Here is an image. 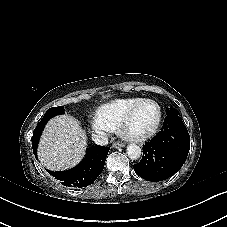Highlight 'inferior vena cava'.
<instances>
[{
  "instance_id": "inferior-vena-cava-1",
  "label": "inferior vena cava",
  "mask_w": 227,
  "mask_h": 227,
  "mask_svg": "<svg viewBox=\"0 0 227 227\" xmlns=\"http://www.w3.org/2000/svg\"><path fill=\"white\" fill-rule=\"evenodd\" d=\"M92 140L97 144V145H107L108 144V138L103 135V134H93L92 135Z\"/></svg>"
}]
</instances>
